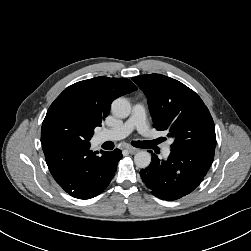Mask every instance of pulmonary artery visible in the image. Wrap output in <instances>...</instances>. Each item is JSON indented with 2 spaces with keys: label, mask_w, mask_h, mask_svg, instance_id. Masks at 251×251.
I'll return each instance as SVG.
<instances>
[{
  "label": "pulmonary artery",
  "mask_w": 251,
  "mask_h": 251,
  "mask_svg": "<svg viewBox=\"0 0 251 251\" xmlns=\"http://www.w3.org/2000/svg\"><path fill=\"white\" fill-rule=\"evenodd\" d=\"M136 129L144 137L150 136V129L146 121V112L142 104H135L131 116L120 125L106 129L98 135L99 141L104 140H119L128 136ZM171 153L169 144L163 147L164 156H169Z\"/></svg>",
  "instance_id": "pulmonary-artery-1"
}]
</instances>
